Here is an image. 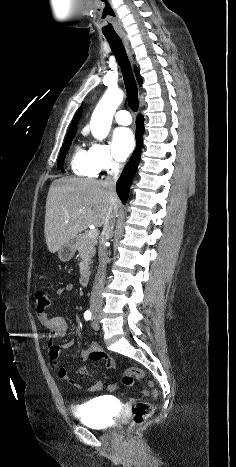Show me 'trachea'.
<instances>
[{"label": "trachea", "instance_id": "obj_1", "mask_svg": "<svg viewBox=\"0 0 236 467\" xmlns=\"http://www.w3.org/2000/svg\"><path fill=\"white\" fill-rule=\"evenodd\" d=\"M121 68L128 105L133 112L138 110V89L125 48L119 37L106 38Z\"/></svg>", "mask_w": 236, "mask_h": 467}]
</instances>
